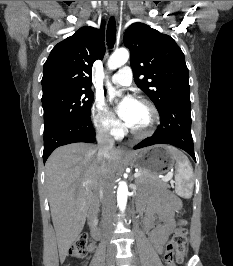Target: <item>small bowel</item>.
<instances>
[{
    "label": "small bowel",
    "instance_id": "obj_1",
    "mask_svg": "<svg viewBox=\"0 0 233 266\" xmlns=\"http://www.w3.org/2000/svg\"><path fill=\"white\" fill-rule=\"evenodd\" d=\"M180 205V200L169 192L142 199L138 203L139 209L144 211L143 227L158 254L162 253L164 243L173 229ZM89 250H94L93 244L89 246Z\"/></svg>",
    "mask_w": 233,
    "mask_h": 266
}]
</instances>
